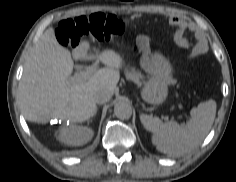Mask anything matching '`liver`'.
Segmentation results:
<instances>
[{
    "mask_svg": "<svg viewBox=\"0 0 236 182\" xmlns=\"http://www.w3.org/2000/svg\"><path fill=\"white\" fill-rule=\"evenodd\" d=\"M72 54L79 60L96 59L105 67L87 79L71 76L74 62L70 51L58 43L53 28L42 34L19 84V102L26 120L44 124L56 118L82 123L96 114L97 91L108 89L113 94L123 65L119 53L106 49L89 54L88 44L83 43Z\"/></svg>",
    "mask_w": 236,
    "mask_h": 182,
    "instance_id": "liver-1",
    "label": "liver"
}]
</instances>
